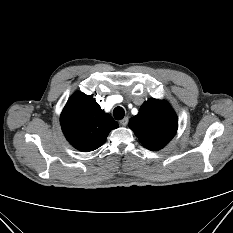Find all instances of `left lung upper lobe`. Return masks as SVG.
<instances>
[{"label": "left lung upper lobe", "mask_w": 233, "mask_h": 233, "mask_svg": "<svg viewBox=\"0 0 233 233\" xmlns=\"http://www.w3.org/2000/svg\"><path fill=\"white\" fill-rule=\"evenodd\" d=\"M129 127L147 149L163 148L176 134L178 119L165 100L149 99L130 119Z\"/></svg>", "instance_id": "5c2ea615"}]
</instances>
